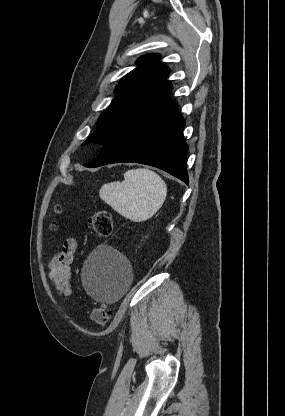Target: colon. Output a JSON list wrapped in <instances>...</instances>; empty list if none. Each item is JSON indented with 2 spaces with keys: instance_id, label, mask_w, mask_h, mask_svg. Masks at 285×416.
<instances>
[{
  "instance_id": "5ec220e1",
  "label": "colon",
  "mask_w": 285,
  "mask_h": 416,
  "mask_svg": "<svg viewBox=\"0 0 285 416\" xmlns=\"http://www.w3.org/2000/svg\"><path fill=\"white\" fill-rule=\"evenodd\" d=\"M55 210L59 212L60 207L57 206ZM89 223L93 231L100 237H108L113 229L112 216L107 210L94 212L89 218ZM111 317V309L104 304L95 306L90 313V320L100 327L107 325Z\"/></svg>"
}]
</instances>
